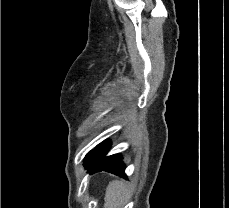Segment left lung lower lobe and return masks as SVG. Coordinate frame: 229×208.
Listing matches in <instances>:
<instances>
[{"label": "left lung lower lobe", "mask_w": 229, "mask_h": 208, "mask_svg": "<svg viewBox=\"0 0 229 208\" xmlns=\"http://www.w3.org/2000/svg\"><path fill=\"white\" fill-rule=\"evenodd\" d=\"M108 146L109 143L104 142L91 150L84 159L85 168L90 170V173L106 171L126 178L125 165L121 162L120 154L105 157Z\"/></svg>", "instance_id": "left-lung-lower-lobe-1"}]
</instances>
